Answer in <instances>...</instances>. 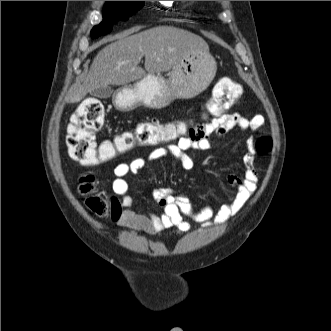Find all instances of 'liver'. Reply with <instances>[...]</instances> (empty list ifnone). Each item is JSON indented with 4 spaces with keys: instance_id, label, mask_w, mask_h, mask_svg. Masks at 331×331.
Here are the masks:
<instances>
[{
    "instance_id": "6515ba94",
    "label": "liver",
    "mask_w": 331,
    "mask_h": 331,
    "mask_svg": "<svg viewBox=\"0 0 331 331\" xmlns=\"http://www.w3.org/2000/svg\"><path fill=\"white\" fill-rule=\"evenodd\" d=\"M130 33L119 35L117 41L98 52L82 84L68 97L69 102H80L87 93L110 84L127 85L144 78L147 72H167L196 50L208 48L200 36L171 26ZM143 57L145 70L138 66Z\"/></svg>"
}]
</instances>
